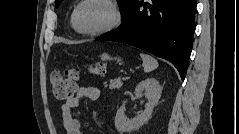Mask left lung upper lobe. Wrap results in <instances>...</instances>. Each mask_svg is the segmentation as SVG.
I'll return each instance as SVG.
<instances>
[{
	"label": "left lung upper lobe",
	"instance_id": "obj_1",
	"mask_svg": "<svg viewBox=\"0 0 239 134\" xmlns=\"http://www.w3.org/2000/svg\"><path fill=\"white\" fill-rule=\"evenodd\" d=\"M62 0H56L55 5L56 8L60 5ZM135 2V0H118V4L120 7V10L122 11V16L124 17L129 9L131 8L132 4Z\"/></svg>",
	"mask_w": 239,
	"mask_h": 134
}]
</instances>
